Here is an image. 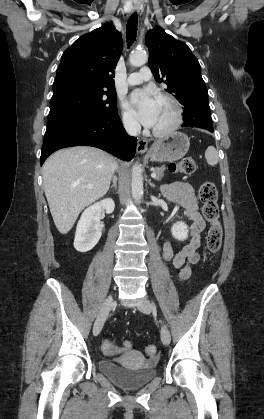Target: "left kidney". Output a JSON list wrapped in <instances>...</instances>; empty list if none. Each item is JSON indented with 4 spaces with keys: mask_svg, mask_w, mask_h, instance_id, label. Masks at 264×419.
<instances>
[{
    "mask_svg": "<svg viewBox=\"0 0 264 419\" xmlns=\"http://www.w3.org/2000/svg\"><path fill=\"white\" fill-rule=\"evenodd\" d=\"M171 233L175 239L183 241L188 237V226L184 222L178 221L171 227Z\"/></svg>",
    "mask_w": 264,
    "mask_h": 419,
    "instance_id": "5707ae66",
    "label": "left kidney"
}]
</instances>
